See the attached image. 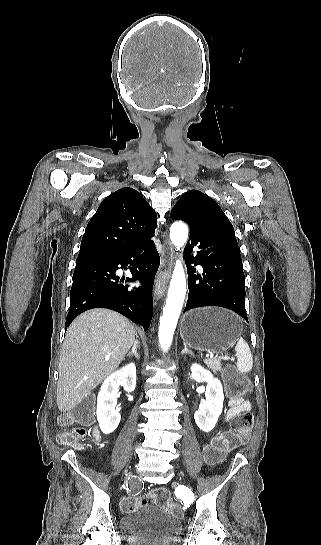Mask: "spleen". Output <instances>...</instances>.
I'll return each mask as SVG.
<instances>
[{
    "label": "spleen",
    "mask_w": 321,
    "mask_h": 545,
    "mask_svg": "<svg viewBox=\"0 0 321 545\" xmlns=\"http://www.w3.org/2000/svg\"><path fill=\"white\" fill-rule=\"evenodd\" d=\"M235 351L237 357L236 367L239 373H249L253 367V359L249 345L242 337L237 341Z\"/></svg>",
    "instance_id": "obj_1"
}]
</instances>
